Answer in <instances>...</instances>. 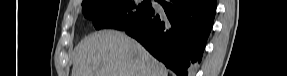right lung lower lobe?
I'll return each instance as SVG.
<instances>
[{
  "mask_svg": "<svg viewBox=\"0 0 287 76\" xmlns=\"http://www.w3.org/2000/svg\"><path fill=\"white\" fill-rule=\"evenodd\" d=\"M146 17L124 29L177 76H193L213 26L216 0H156Z\"/></svg>",
  "mask_w": 287,
  "mask_h": 76,
  "instance_id": "98d812e1",
  "label": "right lung lower lobe"
}]
</instances>
